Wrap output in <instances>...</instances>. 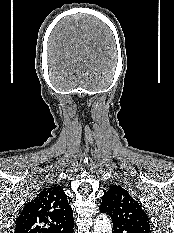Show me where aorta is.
<instances>
[{
  "instance_id": "aorta-1",
  "label": "aorta",
  "mask_w": 174,
  "mask_h": 233,
  "mask_svg": "<svg viewBox=\"0 0 174 233\" xmlns=\"http://www.w3.org/2000/svg\"><path fill=\"white\" fill-rule=\"evenodd\" d=\"M93 233H112L111 221L106 215H99L96 218Z\"/></svg>"
}]
</instances>
